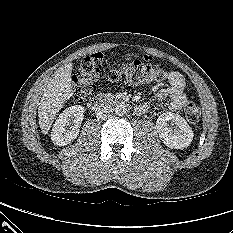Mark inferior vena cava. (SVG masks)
I'll use <instances>...</instances> for the list:
<instances>
[{"mask_svg":"<svg viewBox=\"0 0 233 233\" xmlns=\"http://www.w3.org/2000/svg\"><path fill=\"white\" fill-rule=\"evenodd\" d=\"M113 112V109L111 106L107 105V104H102L99 107L96 108V117L98 119H107L111 116Z\"/></svg>","mask_w":233,"mask_h":233,"instance_id":"602c4592","label":"inferior vena cava"}]
</instances>
